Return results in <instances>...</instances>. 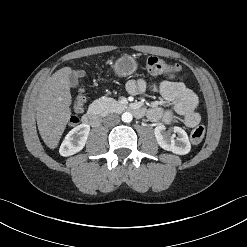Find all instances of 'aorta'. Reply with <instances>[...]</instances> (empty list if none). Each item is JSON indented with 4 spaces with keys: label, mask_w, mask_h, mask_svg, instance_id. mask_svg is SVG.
<instances>
[{
    "label": "aorta",
    "mask_w": 247,
    "mask_h": 247,
    "mask_svg": "<svg viewBox=\"0 0 247 247\" xmlns=\"http://www.w3.org/2000/svg\"><path fill=\"white\" fill-rule=\"evenodd\" d=\"M122 118V121L125 122V123H130L133 119V116L131 113L129 112H124L121 116Z\"/></svg>",
    "instance_id": "obj_1"
}]
</instances>
